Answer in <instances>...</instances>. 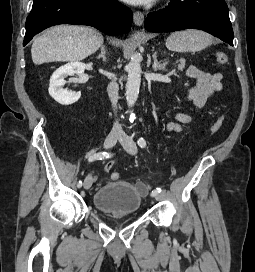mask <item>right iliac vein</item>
I'll list each match as a JSON object with an SVG mask.
<instances>
[{"mask_svg": "<svg viewBox=\"0 0 255 272\" xmlns=\"http://www.w3.org/2000/svg\"><path fill=\"white\" fill-rule=\"evenodd\" d=\"M119 139H120V136L110 133L104 141V147L105 148L113 147L115 143L117 142V140ZM92 183H93V178L91 175H88L84 180V188L89 189L92 186Z\"/></svg>", "mask_w": 255, "mask_h": 272, "instance_id": "right-iliac-vein-1", "label": "right iliac vein"}]
</instances>
